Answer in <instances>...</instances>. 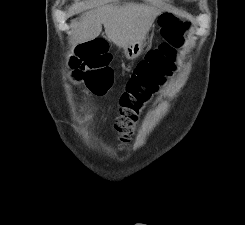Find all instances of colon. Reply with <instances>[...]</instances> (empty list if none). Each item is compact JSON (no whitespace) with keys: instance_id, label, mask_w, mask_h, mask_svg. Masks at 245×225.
<instances>
[{"instance_id":"1","label":"colon","mask_w":245,"mask_h":225,"mask_svg":"<svg viewBox=\"0 0 245 225\" xmlns=\"http://www.w3.org/2000/svg\"><path fill=\"white\" fill-rule=\"evenodd\" d=\"M159 24L164 41L135 65L121 95L122 106L114 127L122 144L131 141L138 129L142 111L158 86L171 75L174 66L166 56L172 57L183 44L188 28L178 16L167 11L160 14ZM110 61L111 55L104 41L85 40L71 57L69 67L75 75L84 78L89 95L103 96L114 82Z\"/></svg>"}]
</instances>
